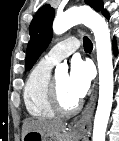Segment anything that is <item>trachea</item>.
<instances>
[{
  "label": "trachea",
  "mask_w": 119,
  "mask_h": 141,
  "mask_svg": "<svg viewBox=\"0 0 119 141\" xmlns=\"http://www.w3.org/2000/svg\"><path fill=\"white\" fill-rule=\"evenodd\" d=\"M92 48V42L87 37H84V50L90 52Z\"/></svg>",
  "instance_id": "1"
}]
</instances>
